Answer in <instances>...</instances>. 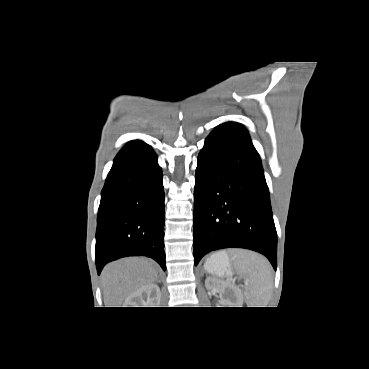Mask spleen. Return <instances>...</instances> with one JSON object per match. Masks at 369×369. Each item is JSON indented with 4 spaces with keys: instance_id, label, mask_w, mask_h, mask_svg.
Instances as JSON below:
<instances>
[{
    "instance_id": "1",
    "label": "spleen",
    "mask_w": 369,
    "mask_h": 369,
    "mask_svg": "<svg viewBox=\"0 0 369 369\" xmlns=\"http://www.w3.org/2000/svg\"><path fill=\"white\" fill-rule=\"evenodd\" d=\"M230 255L237 272L247 277L249 307H266L273 285L272 267L267 259L246 250H232Z\"/></svg>"
}]
</instances>
